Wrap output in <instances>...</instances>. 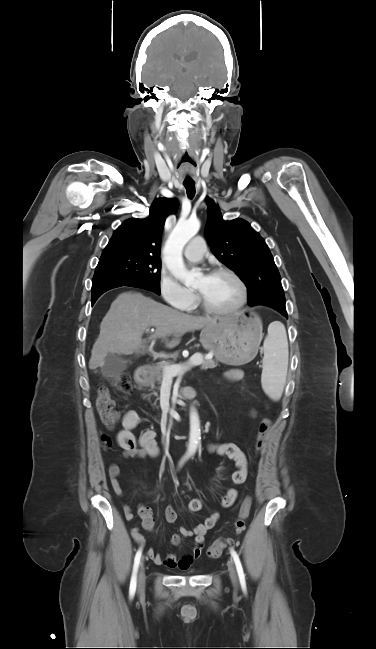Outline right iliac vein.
Here are the masks:
<instances>
[{"instance_id":"obj_1","label":"right iliac vein","mask_w":376,"mask_h":649,"mask_svg":"<svg viewBox=\"0 0 376 649\" xmlns=\"http://www.w3.org/2000/svg\"><path fill=\"white\" fill-rule=\"evenodd\" d=\"M145 581H146V575H145V570H144V565H143V560L140 563V568H139V575H138V590L142 591L145 587Z\"/></svg>"}]
</instances>
